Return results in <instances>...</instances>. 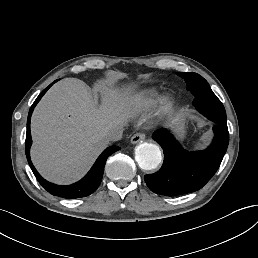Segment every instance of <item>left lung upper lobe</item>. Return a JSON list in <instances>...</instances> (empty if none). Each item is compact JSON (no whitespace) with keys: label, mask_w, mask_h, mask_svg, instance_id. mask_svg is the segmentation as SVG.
<instances>
[{"label":"left lung upper lobe","mask_w":258,"mask_h":258,"mask_svg":"<svg viewBox=\"0 0 258 258\" xmlns=\"http://www.w3.org/2000/svg\"><path fill=\"white\" fill-rule=\"evenodd\" d=\"M177 74L184 78L187 83L188 89L193 95H195V93L198 91L211 90L208 82L197 73L178 72Z\"/></svg>","instance_id":"1"}]
</instances>
